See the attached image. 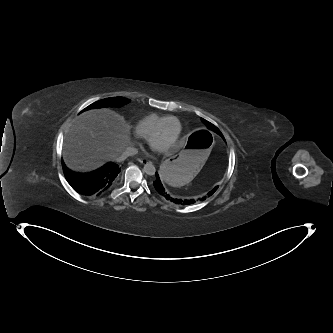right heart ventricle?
I'll use <instances>...</instances> for the list:
<instances>
[{"mask_svg":"<svg viewBox=\"0 0 333 333\" xmlns=\"http://www.w3.org/2000/svg\"><path fill=\"white\" fill-rule=\"evenodd\" d=\"M170 115L151 113L140 119L135 125V132L143 138H149L152 132L156 129L159 123ZM178 127L180 121L178 120Z\"/></svg>","mask_w":333,"mask_h":333,"instance_id":"right-heart-ventricle-1","label":"right heart ventricle"}]
</instances>
